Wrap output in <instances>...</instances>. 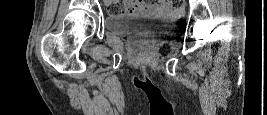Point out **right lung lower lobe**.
I'll return each mask as SVG.
<instances>
[{
	"mask_svg": "<svg viewBox=\"0 0 267 115\" xmlns=\"http://www.w3.org/2000/svg\"><path fill=\"white\" fill-rule=\"evenodd\" d=\"M140 88H142V89H148L147 87H140Z\"/></svg>",
	"mask_w": 267,
	"mask_h": 115,
	"instance_id": "obj_1",
	"label": "right lung lower lobe"
}]
</instances>
